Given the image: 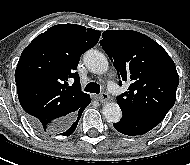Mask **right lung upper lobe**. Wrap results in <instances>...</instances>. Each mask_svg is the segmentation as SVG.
Wrapping results in <instances>:
<instances>
[{
    "label": "right lung upper lobe",
    "instance_id": "right-lung-upper-lobe-1",
    "mask_svg": "<svg viewBox=\"0 0 190 165\" xmlns=\"http://www.w3.org/2000/svg\"><path fill=\"white\" fill-rule=\"evenodd\" d=\"M99 37L100 31L91 28L59 24L23 50L15 71L18 98L41 132L64 130L90 100V95L81 91L75 70L81 54L94 47ZM68 79H74L72 86Z\"/></svg>",
    "mask_w": 190,
    "mask_h": 165
}]
</instances>
